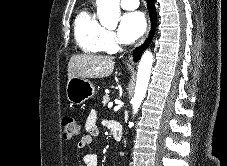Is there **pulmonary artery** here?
<instances>
[{
	"mask_svg": "<svg viewBox=\"0 0 227 166\" xmlns=\"http://www.w3.org/2000/svg\"><path fill=\"white\" fill-rule=\"evenodd\" d=\"M120 5L123 9L134 10L139 7V0H121Z\"/></svg>",
	"mask_w": 227,
	"mask_h": 166,
	"instance_id": "e3ab8cb5",
	"label": "pulmonary artery"
}]
</instances>
